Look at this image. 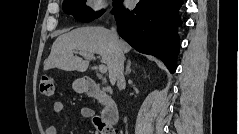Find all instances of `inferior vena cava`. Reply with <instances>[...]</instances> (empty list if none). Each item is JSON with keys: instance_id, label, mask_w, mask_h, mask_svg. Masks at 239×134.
<instances>
[{"instance_id": "inferior-vena-cava-1", "label": "inferior vena cava", "mask_w": 239, "mask_h": 134, "mask_svg": "<svg viewBox=\"0 0 239 134\" xmlns=\"http://www.w3.org/2000/svg\"><path fill=\"white\" fill-rule=\"evenodd\" d=\"M111 32H112L114 40L117 42L118 35L116 32V29L112 28ZM124 60H125V57H124L123 52L118 47H116L112 69H113V74L117 80V86L119 89H122V87L125 84Z\"/></svg>"}]
</instances>
